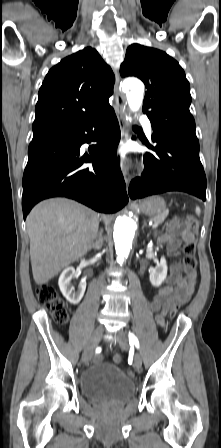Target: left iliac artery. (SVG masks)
<instances>
[{
	"instance_id": "44dca946",
	"label": "left iliac artery",
	"mask_w": 221,
	"mask_h": 448,
	"mask_svg": "<svg viewBox=\"0 0 221 448\" xmlns=\"http://www.w3.org/2000/svg\"><path fill=\"white\" fill-rule=\"evenodd\" d=\"M128 337H129L130 345L132 344V345H135L137 348H139V341H138L137 337L131 332H129Z\"/></svg>"
}]
</instances>
